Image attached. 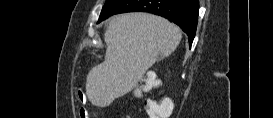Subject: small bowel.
I'll return each mask as SVG.
<instances>
[{
	"label": "small bowel",
	"mask_w": 273,
	"mask_h": 118,
	"mask_svg": "<svg viewBox=\"0 0 273 118\" xmlns=\"http://www.w3.org/2000/svg\"><path fill=\"white\" fill-rule=\"evenodd\" d=\"M78 98H79V101L81 103H85L86 102L87 98H86V95H85V93H84L83 90H80L78 92ZM79 113H80V117L81 118H88V113H87V110L85 108H81L80 111H79Z\"/></svg>",
	"instance_id": "1"
}]
</instances>
